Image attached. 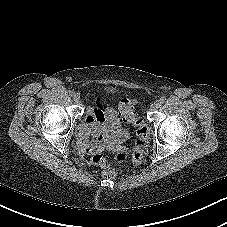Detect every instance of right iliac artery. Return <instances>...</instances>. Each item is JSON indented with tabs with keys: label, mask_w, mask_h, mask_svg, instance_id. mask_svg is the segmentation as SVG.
Returning a JSON list of instances; mask_svg holds the SVG:
<instances>
[{
	"label": "right iliac artery",
	"mask_w": 227,
	"mask_h": 227,
	"mask_svg": "<svg viewBox=\"0 0 227 227\" xmlns=\"http://www.w3.org/2000/svg\"><path fill=\"white\" fill-rule=\"evenodd\" d=\"M69 94H70V96H73L75 94V92L74 91H70Z\"/></svg>",
	"instance_id": "right-iliac-artery-1"
}]
</instances>
